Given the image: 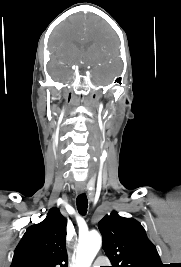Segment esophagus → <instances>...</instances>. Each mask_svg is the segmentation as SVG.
<instances>
[{
	"mask_svg": "<svg viewBox=\"0 0 181 267\" xmlns=\"http://www.w3.org/2000/svg\"><path fill=\"white\" fill-rule=\"evenodd\" d=\"M76 192L78 193V194H81V193H83L84 192V188H77V190H76Z\"/></svg>",
	"mask_w": 181,
	"mask_h": 267,
	"instance_id": "34e87169",
	"label": "esophagus"
}]
</instances>
